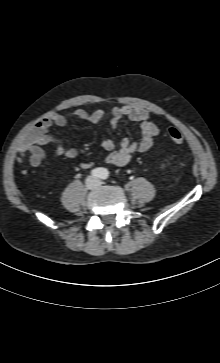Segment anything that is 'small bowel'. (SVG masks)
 Masks as SVG:
<instances>
[{"instance_id": "obj_1", "label": "small bowel", "mask_w": 220, "mask_h": 363, "mask_svg": "<svg viewBox=\"0 0 220 363\" xmlns=\"http://www.w3.org/2000/svg\"><path fill=\"white\" fill-rule=\"evenodd\" d=\"M106 115H111V127L113 129L117 128L119 121L123 118L138 123L141 129V138L138 141H131L124 138L118 147L112 139L107 138L103 140L102 147L108 151L106 162L112 166L126 165L135 154L149 150L153 145L154 139L159 134V128L153 122L149 113L139 107L123 106L111 109H97L94 111L77 109L69 115L53 114L42 119L30 131L27 141L19 148L18 156L20 161L26 162L28 160L33 167H39L44 161L50 158L77 157V149L64 147L57 138L49 134V129L52 126L65 127L68 124L69 117L97 124ZM47 144L55 145V151L52 157L47 155L42 149V146ZM92 165V162L86 161L80 163V168L89 169Z\"/></svg>"}]
</instances>
